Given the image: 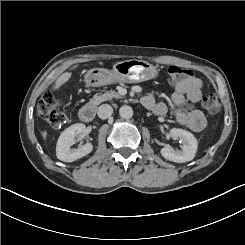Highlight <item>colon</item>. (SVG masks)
<instances>
[{
  "label": "colon",
  "instance_id": "obj_1",
  "mask_svg": "<svg viewBox=\"0 0 245 245\" xmlns=\"http://www.w3.org/2000/svg\"><path fill=\"white\" fill-rule=\"evenodd\" d=\"M168 75L175 84L180 83L193 76L192 71L179 66L172 65L168 68ZM61 101L54 91H47L37 106L39 116L54 128L61 127L65 121V115L59 111ZM202 106L208 114H216L220 104L216 95L210 94L202 101Z\"/></svg>",
  "mask_w": 245,
  "mask_h": 245
}]
</instances>
